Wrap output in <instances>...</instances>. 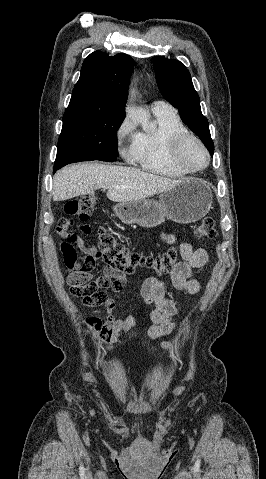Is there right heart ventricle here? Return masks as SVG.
Segmentation results:
<instances>
[{
  "mask_svg": "<svg viewBox=\"0 0 266 479\" xmlns=\"http://www.w3.org/2000/svg\"><path fill=\"white\" fill-rule=\"evenodd\" d=\"M153 112L157 127L153 131L136 134L131 160L150 173L181 177L187 173L170 161L168 149L172 137L188 133V130L175 111Z\"/></svg>",
  "mask_w": 266,
  "mask_h": 479,
  "instance_id": "e07e8e85",
  "label": "right heart ventricle"
}]
</instances>
